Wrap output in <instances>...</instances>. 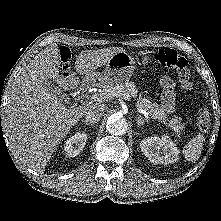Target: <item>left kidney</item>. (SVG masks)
Returning <instances> with one entry per match:
<instances>
[{
    "mask_svg": "<svg viewBox=\"0 0 221 221\" xmlns=\"http://www.w3.org/2000/svg\"><path fill=\"white\" fill-rule=\"evenodd\" d=\"M143 154L154 164H169L178 161L179 149L167 135L148 137L141 141Z\"/></svg>",
    "mask_w": 221,
    "mask_h": 221,
    "instance_id": "obj_1",
    "label": "left kidney"
}]
</instances>
